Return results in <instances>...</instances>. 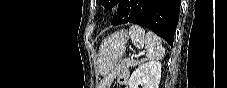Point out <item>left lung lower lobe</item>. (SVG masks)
I'll return each mask as SVG.
<instances>
[{
	"label": "left lung lower lobe",
	"instance_id": "1",
	"mask_svg": "<svg viewBox=\"0 0 227 88\" xmlns=\"http://www.w3.org/2000/svg\"><path fill=\"white\" fill-rule=\"evenodd\" d=\"M181 0H122L113 25L134 23L147 27L173 46Z\"/></svg>",
	"mask_w": 227,
	"mask_h": 88
}]
</instances>
